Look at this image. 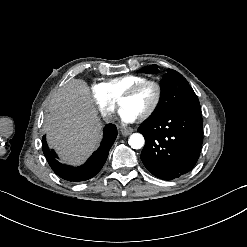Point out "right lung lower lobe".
Segmentation results:
<instances>
[{
	"label": "right lung lower lobe",
	"mask_w": 247,
	"mask_h": 247,
	"mask_svg": "<svg viewBox=\"0 0 247 247\" xmlns=\"http://www.w3.org/2000/svg\"><path fill=\"white\" fill-rule=\"evenodd\" d=\"M117 137V128L113 124H107L104 128L103 140L100 147L92 154L84 165L72 167L60 163L56 153L49 149L46 136L42 138L43 153L52 170L62 179L72 182H80L94 177L103 167L109 154V150Z\"/></svg>",
	"instance_id": "right-lung-lower-lobe-1"
}]
</instances>
